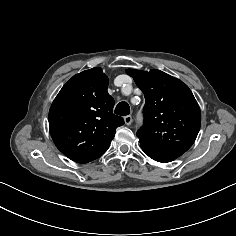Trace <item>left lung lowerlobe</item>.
<instances>
[{"label": "left lung lower lobe", "mask_w": 236, "mask_h": 236, "mask_svg": "<svg viewBox=\"0 0 236 236\" xmlns=\"http://www.w3.org/2000/svg\"><path fill=\"white\" fill-rule=\"evenodd\" d=\"M142 150L153 160L163 163L173 161L183 154L179 152L152 150L144 147H142Z\"/></svg>", "instance_id": "obj_1"}]
</instances>
